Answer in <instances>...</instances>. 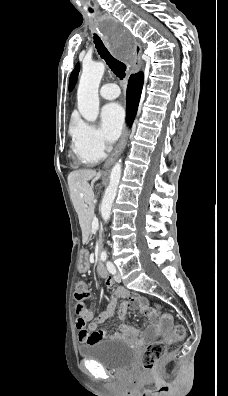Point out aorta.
I'll return each mask as SVG.
<instances>
[{
	"instance_id": "aorta-1",
	"label": "aorta",
	"mask_w": 228,
	"mask_h": 396,
	"mask_svg": "<svg viewBox=\"0 0 228 396\" xmlns=\"http://www.w3.org/2000/svg\"><path fill=\"white\" fill-rule=\"evenodd\" d=\"M104 71L105 65L102 62L83 65V71L77 91V102L80 114L89 122H95L98 117V89ZM121 168V160H119L111 170L110 182L101 204V215L104 222H108L110 219L112 204L116 197L117 188L121 178Z\"/></svg>"
}]
</instances>
